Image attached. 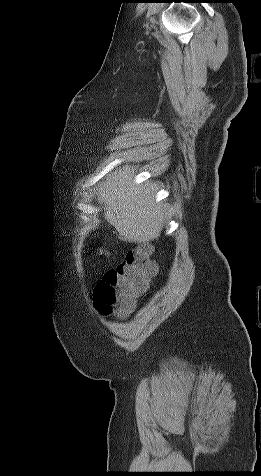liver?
<instances>
[{"mask_svg": "<svg viewBox=\"0 0 261 476\" xmlns=\"http://www.w3.org/2000/svg\"><path fill=\"white\" fill-rule=\"evenodd\" d=\"M150 186H133L132 177L120 174L109 181L98 196L104 203V217L127 242L147 243L160 237L166 213L153 204Z\"/></svg>", "mask_w": 261, "mask_h": 476, "instance_id": "liver-1", "label": "liver"}]
</instances>
